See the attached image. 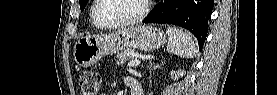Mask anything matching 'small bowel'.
Here are the masks:
<instances>
[{
	"label": "small bowel",
	"mask_w": 277,
	"mask_h": 95,
	"mask_svg": "<svg viewBox=\"0 0 277 95\" xmlns=\"http://www.w3.org/2000/svg\"><path fill=\"white\" fill-rule=\"evenodd\" d=\"M126 79H127L128 81H130L132 78H130V77H126Z\"/></svg>",
	"instance_id": "small-bowel-1"
}]
</instances>
